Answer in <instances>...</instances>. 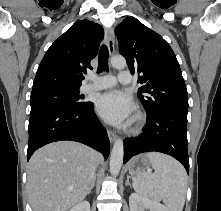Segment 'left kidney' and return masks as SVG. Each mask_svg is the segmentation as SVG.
<instances>
[{
  "label": "left kidney",
  "instance_id": "left-kidney-1",
  "mask_svg": "<svg viewBox=\"0 0 221 211\" xmlns=\"http://www.w3.org/2000/svg\"><path fill=\"white\" fill-rule=\"evenodd\" d=\"M130 211H169L163 204L155 200H150L137 193H132L129 197Z\"/></svg>",
  "mask_w": 221,
  "mask_h": 211
}]
</instances>
